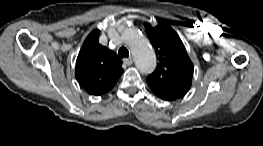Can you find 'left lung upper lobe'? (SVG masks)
<instances>
[{"instance_id": "1", "label": "left lung upper lobe", "mask_w": 263, "mask_h": 146, "mask_svg": "<svg viewBox=\"0 0 263 146\" xmlns=\"http://www.w3.org/2000/svg\"><path fill=\"white\" fill-rule=\"evenodd\" d=\"M145 29L157 56L155 71L147 77L152 92L166 101L183 97L190 89L194 66L177 33L166 24Z\"/></svg>"}]
</instances>
